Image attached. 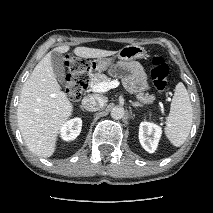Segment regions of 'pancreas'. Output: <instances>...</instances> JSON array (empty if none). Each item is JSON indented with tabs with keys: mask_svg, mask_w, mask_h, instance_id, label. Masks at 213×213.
<instances>
[{
	"mask_svg": "<svg viewBox=\"0 0 213 213\" xmlns=\"http://www.w3.org/2000/svg\"><path fill=\"white\" fill-rule=\"evenodd\" d=\"M111 78L107 77L105 74H95L90 79V85L93 86L95 84L101 83V82H110ZM136 98L143 104H151L155 100V96L149 95L148 93H138L136 95Z\"/></svg>",
	"mask_w": 213,
	"mask_h": 213,
	"instance_id": "cf45deb5",
	"label": "pancreas"
}]
</instances>
